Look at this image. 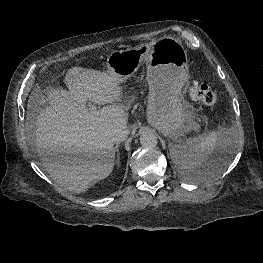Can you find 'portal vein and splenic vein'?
<instances>
[{
    "instance_id": "18ae733b",
    "label": "portal vein and splenic vein",
    "mask_w": 263,
    "mask_h": 263,
    "mask_svg": "<svg viewBox=\"0 0 263 263\" xmlns=\"http://www.w3.org/2000/svg\"><path fill=\"white\" fill-rule=\"evenodd\" d=\"M88 106L91 111L96 109V107L91 102L88 103Z\"/></svg>"
}]
</instances>
